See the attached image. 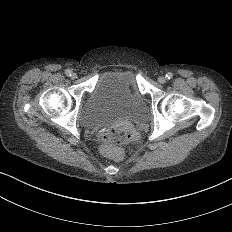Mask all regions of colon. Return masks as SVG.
<instances>
[{"label":"colon","instance_id":"5ec220e1","mask_svg":"<svg viewBox=\"0 0 232 232\" xmlns=\"http://www.w3.org/2000/svg\"><path fill=\"white\" fill-rule=\"evenodd\" d=\"M139 136V128L132 121L113 122L109 129H102L96 134L100 145L121 147L130 144Z\"/></svg>","mask_w":232,"mask_h":232}]
</instances>
